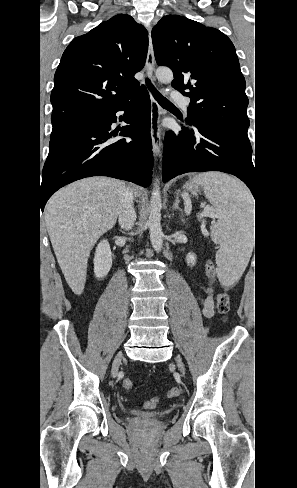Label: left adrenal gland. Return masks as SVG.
I'll return each instance as SVG.
<instances>
[{"instance_id": "1", "label": "left adrenal gland", "mask_w": 297, "mask_h": 488, "mask_svg": "<svg viewBox=\"0 0 297 488\" xmlns=\"http://www.w3.org/2000/svg\"><path fill=\"white\" fill-rule=\"evenodd\" d=\"M180 193H181V191H180V190H177V192H176V199H175V202H174V204H173V206H172V208H173L174 210H180V208H179V202H180V199H179V198H180Z\"/></svg>"}]
</instances>
